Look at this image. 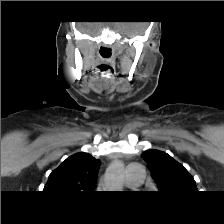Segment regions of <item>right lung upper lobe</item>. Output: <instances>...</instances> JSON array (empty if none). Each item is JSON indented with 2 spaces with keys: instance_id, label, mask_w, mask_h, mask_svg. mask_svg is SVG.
I'll list each match as a JSON object with an SVG mask.
<instances>
[{
  "instance_id": "obj_1",
  "label": "right lung upper lobe",
  "mask_w": 224,
  "mask_h": 224,
  "mask_svg": "<svg viewBox=\"0 0 224 224\" xmlns=\"http://www.w3.org/2000/svg\"><path fill=\"white\" fill-rule=\"evenodd\" d=\"M99 166L100 161L88 153L74 154L51 172L44 190L66 194L92 193Z\"/></svg>"
}]
</instances>
